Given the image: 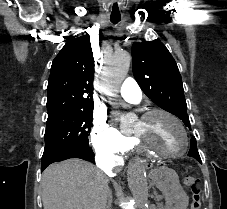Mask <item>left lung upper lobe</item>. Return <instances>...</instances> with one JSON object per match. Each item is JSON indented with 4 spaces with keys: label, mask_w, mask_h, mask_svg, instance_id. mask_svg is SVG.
<instances>
[{
    "label": "left lung upper lobe",
    "mask_w": 227,
    "mask_h": 209,
    "mask_svg": "<svg viewBox=\"0 0 227 209\" xmlns=\"http://www.w3.org/2000/svg\"><path fill=\"white\" fill-rule=\"evenodd\" d=\"M132 63L134 77L142 91L191 129L181 75L165 45L160 40L133 43ZM190 147L188 155L201 163L195 137L191 138Z\"/></svg>",
    "instance_id": "left-lung-upper-lobe-1"
}]
</instances>
